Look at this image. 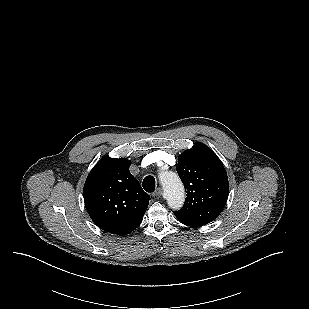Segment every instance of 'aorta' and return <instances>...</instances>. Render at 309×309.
Returning a JSON list of instances; mask_svg holds the SVG:
<instances>
[{
  "instance_id": "1",
  "label": "aorta",
  "mask_w": 309,
  "mask_h": 309,
  "mask_svg": "<svg viewBox=\"0 0 309 309\" xmlns=\"http://www.w3.org/2000/svg\"><path fill=\"white\" fill-rule=\"evenodd\" d=\"M160 182L169 207L173 210L180 209L185 201V190L178 175L172 171L162 172Z\"/></svg>"
}]
</instances>
